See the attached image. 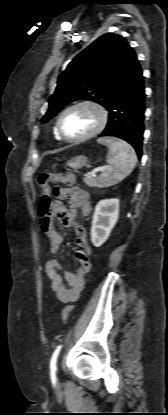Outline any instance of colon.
<instances>
[{"instance_id": "5ec220e1", "label": "colon", "mask_w": 168, "mask_h": 415, "mask_svg": "<svg viewBox=\"0 0 168 415\" xmlns=\"http://www.w3.org/2000/svg\"><path fill=\"white\" fill-rule=\"evenodd\" d=\"M77 173V168L73 165L67 166V169L64 173L60 174H50V175H41L39 178L40 185L42 187V195L39 200L38 214L40 221L44 227H49L51 223L56 218V210L53 205V202L50 197V182H61L66 185H72L75 180V174ZM74 305L66 306L62 311V321L65 323L69 318L70 314L74 310Z\"/></svg>"}]
</instances>
